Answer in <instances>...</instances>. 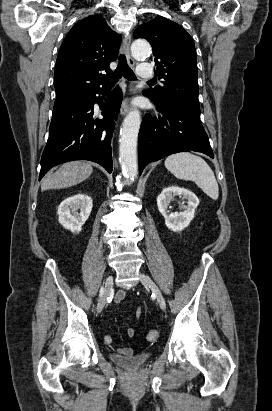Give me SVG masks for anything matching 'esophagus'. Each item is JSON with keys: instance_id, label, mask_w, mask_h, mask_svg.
<instances>
[{"instance_id": "34e87169", "label": "esophagus", "mask_w": 272, "mask_h": 411, "mask_svg": "<svg viewBox=\"0 0 272 411\" xmlns=\"http://www.w3.org/2000/svg\"><path fill=\"white\" fill-rule=\"evenodd\" d=\"M130 44H131V35L127 34L123 39V51L127 57V61L130 66H135V61L130 54ZM130 110L129 99H125L121 105L120 113L122 116L126 115L127 112Z\"/></svg>"}]
</instances>
